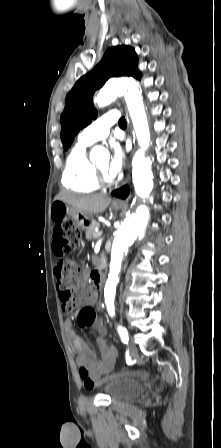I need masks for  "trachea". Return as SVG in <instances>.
<instances>
[{
	"label": "trachea",
	"instance_id": "1",
	"mask_svg": "<svg viewBox=\"0 0 221 448\" xmlns=\"http://www.w3.org/2000/svg\"><path fill=\"white\" fill-rule=\"evenodd\" d=\"M126 125H127V124H126V120H125V118H124V117H121L120 120H119V126L124 127V126H126Z\"/></svg>",
	"mask_w": 221,
	"mask_h": 448
}]
</instances>
